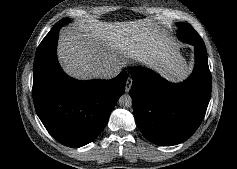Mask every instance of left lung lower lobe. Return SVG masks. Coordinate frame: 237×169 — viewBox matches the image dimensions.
<instances>
[{"label":"left lung lower lobe","instance_id":"obj_1","mask_svg":"<svg viewBox=\"0 0 237 169\" xmlns=\"http://www.w3.org/2000/svg\"><path fill=\"white\" fill-rule=\"evenodd\" d=\"M195 67L182 83H169L151 70H131L129 92L137 125L152 143L171 146L187 140L202 122L211 96L205 44H192Z\"/></svg>","mask_w":237,"mask_h":169}]
</instances>
